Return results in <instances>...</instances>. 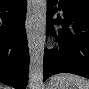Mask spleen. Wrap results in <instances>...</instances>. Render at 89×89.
I'll list each match as a JSON object with an SVG mask.
<instances>
[{
  "label": "spleen",
  "instance_id": "spleen-1",
  "mask_svg": "<svg viewBox=\"0 0 89 89\" xmlns=\"http://www.w3.org/2000/svg\"><path fill=\"white\" fill-rule=\"evenodd\" d=\"M49 84L59 89H89V81L74 74L55 75L50 79Z\"/></svg>",
  "mask_w": 89,
  "mask_h": 89
}]
</instances>
